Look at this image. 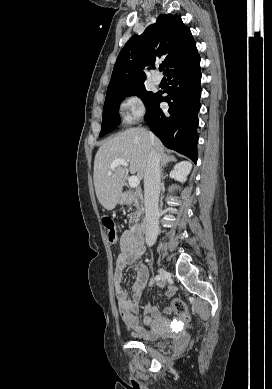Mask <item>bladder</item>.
<instances>
[{"mask_svg": "<svg viewBox=\"0 0 272 389\" xmlns=\"http://www.w3.org/2000/svg\"><path fill=\"white\" fill-rule=\"evenodd\" d=\"M146 343L149 345H152V346L162 347L166 344V340L161 339V336H160L159 338H156V339H150Z\"/></svg>", "mask_w": 272, "mask_h": 389, "instance_id": "1", "label": "bladder"}]
</instances>
